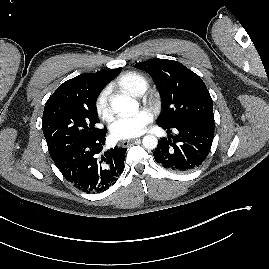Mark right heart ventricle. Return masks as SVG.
<instances>
[{"instance_id": "e07e8e85", "label": "right heart ventricle", "mask_w": 269, "mask_h": 269, "mask_svg": "<svg viewBox=\"0 0 269 269\" xmlns=\"http://www.w3.org/2000/svg\"><path fill=\"white\" fill-rule=\"evenodd\" d=\"M116 85L123 92L132 96H138L147 89L148 80L139 72L128 71L116 80Z\"/></svg>"}]
</instances>
